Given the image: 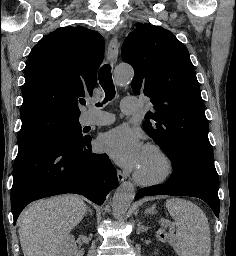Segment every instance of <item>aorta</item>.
<instances>
[{
  "label": "aorta",
  "mask_w": 236,
  "mask_h": 256,
  "mask_svg": "<svg viewBox=\"0 0 236 256\" xmlns=\"http://www.w3.org/2000/svg\"><path fill=\"white\" fill-rule=\"evenodd\" d=\"M134 76V71L129 65H119L115 69V82L119 86L129 84ZM135 198L134 185L131 182L122 183L113 196L112 209L116 219H122L130 204Z\"/></svg>",
  "instance_id": "obj_1"
}]
</instances>
